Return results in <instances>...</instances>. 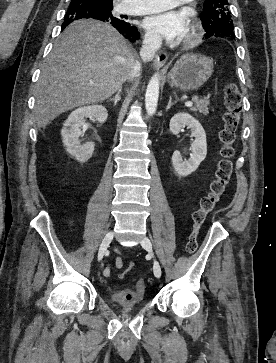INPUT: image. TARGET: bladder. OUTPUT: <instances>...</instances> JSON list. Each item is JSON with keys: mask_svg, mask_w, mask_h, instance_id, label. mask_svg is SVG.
I'll return each instance as SVG.
<instances>
[{"mask_svg": "<svg viewBox=\"0 0 276 363\" xmlns=\"http://www.w3.org/2000/svg\"><path fill=\"white\" fill-rule=\"evenodd\" d=\"M110 299L118 305L131 308L144 303V289L141 286L126 287L110 291Z\"/></svg>", "mask_w": 276, "mask_h": 363, "instance_id": "31cf9c89", "label": "bladder"}]
</instances>
